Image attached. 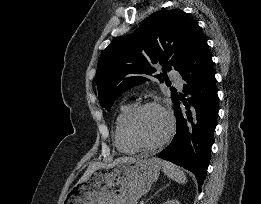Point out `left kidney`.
I'll return each instance as SVG.
<instances>
[{"instance_id":"obj_1","label":"left kidney","mask_w":261,"mask_h":204,"mask_svg":"<svg viewBox=\"0 0 261 204\" xmlns=\"http://www.w3.org/2000/svg\"><path fill=\"white\" fill-rule=\"evenodd\" d=\"M163 204H180V202L176 199H171V200L164 202Z\"/></svg>"}]
</instances>
